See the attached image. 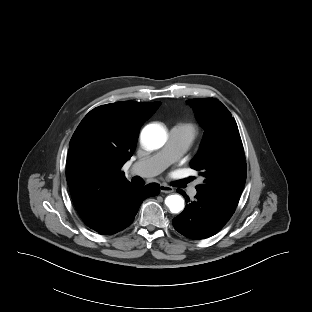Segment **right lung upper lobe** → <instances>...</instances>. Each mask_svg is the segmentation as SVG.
<instances>
[{
	"label": "right lung upper lobe",
	"mask_w": 312,
	"mask_h": 312,
	"mask_svg": "<svg viewBox=\"0 0 312 312\" xmlns=\"http://www.w3.org/2000/svg\"><path fill=\"white\" fill-rule=\"evenodd\" d=\"M160 104L102 105L77 127L69 144L66 178L74 206L86 224L97 220L131 184L121 167L135 150L140 127Z\"/></svg>",
	"instance_id": "right-lung-upper-lobe-1"
}]
</instances>
